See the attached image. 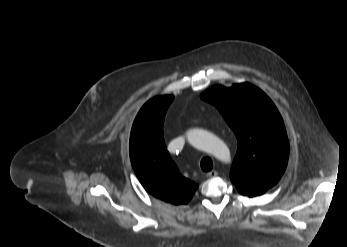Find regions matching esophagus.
Segmentation results:
<instances>
[{
	"label": "esophagus",
	"mask_w": 347,
	"mask_h": 247,
	"mask_svg": "<svg viewBox=\"0 0 347 247\" xmlns=\"http://www.w3.org/2000/svg\"><path fill=\"white\" fill-rule=\"evenodd\" d=\"M218 175L217 171L212 170L206 174L207 177H216Z\"/></svg>",
	"instance_id": "obj_1"
}]
</instances>
